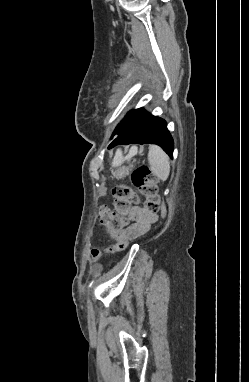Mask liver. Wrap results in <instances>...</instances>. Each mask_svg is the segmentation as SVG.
<instances>
[{
    "instance_id": "1",
    "label": "liver",
    "mask_w": 249,
    "mask_h": 382,
    "mask_svg": "<svg viewBox=\"0 0 249 382\" xmlns=\"http://www.w3.org/2000/svg\"><path fill=\"white\" fill-rule=\"evenodd\" d=\"M137 153V148L133 147L131 150H130V153H129V157L135 155ZM122 154L120 151H118L116 153V156H115V160H114V163H117L119 162L120 160H122Z\"/></svg>"
}]
</instances>
